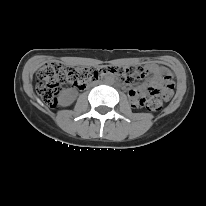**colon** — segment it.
Returning a JSON list of instances; mask_svg holds the SVG:
<instances>
[{
    "mask_svg": "<svg viewBox=\"0 0 206 206\" xmlns=\"http://www.w3.org/2000/svg\"><path fill=\"white\" fill-rule=\"evenodd\" d=\"M114 73L126 80L138 79L146 73L141 67H66L59 63L51 62L42 66L36 74V90L41 99L50 107L55 106L57 94L62 84H71L78 88H84L90 81L98 79L102 74ZM173 82L170 75H166L158 84L149 86L147 95L140 96L138 104L150 110L158 111L162 107V101L170 98L173 90Z\"/></svg>",
    "mask_w": 206,
    "mask_h": 206,
    "instance_id": "1",
    "label": "colon"
}]
</instances>
